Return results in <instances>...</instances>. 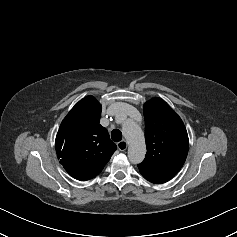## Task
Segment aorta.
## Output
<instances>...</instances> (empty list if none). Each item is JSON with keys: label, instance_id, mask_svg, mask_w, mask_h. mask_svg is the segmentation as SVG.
I'll list each match as a JSON object with an SVG mask.
<instances>
[{"label": "aorta", "instance_id": "762f6f07", "mask_svg": "<svg viewBox=\"0 0 237 237\" xmlns=\"http://www.w3.org/2000/svg\"><path fill=\"white\" fill-rule=\"evenodd\" d=\"M123 135L128 142V158L131 163H141L146 155V144L142 129L132 120H125L122 127Z\"/></svg>", "mask_w": 237, "mask_h": 237}]
</instances>
